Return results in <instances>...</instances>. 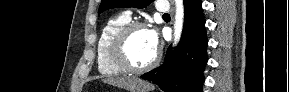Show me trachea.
<instances>
[{
  "label": "trachea",
  "instance_id": "obj_1",
  "mask_svg": "<svg viewBox=\"0 0 289 92\" xmlns=\"http://www.w3.org/2000/svg\"><path fill=\"white\" fill-rule=\"evenodd\" d=\"M163 16H170L168 13H165Z\"/></svg>",
  "mask_w": 289,
  "mask_h": 92
}]
</instances>
